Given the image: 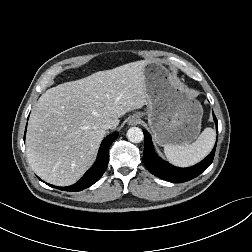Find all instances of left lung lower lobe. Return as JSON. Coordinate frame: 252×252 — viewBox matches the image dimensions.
<instances>
[{
	"instance_id": "obj_1",
	"label": "left lung lower lobe",
	"mask_w": 252,
	"mask_h": 252,
	"mask_svg": "<svg viewBox=\"0 0 252 252\" xmlns=\"http://www.w3.org/2000/svg\"><path fill=\"white\" fill-rule=\"evenodd\" d=\"M214 121L216 123L217 128V119L215 115H213ZM144 133V155L143 162L147 169L155 176H158L164 180L173 182V183H182L189 181L198 175H200L203 171L207 169V167L212 163L215 149L200 163L189 167V168H179L172 166L168 162L162 160L153 150V144L150 135L143 131Z\"/></svg>"
}]
</instances>
